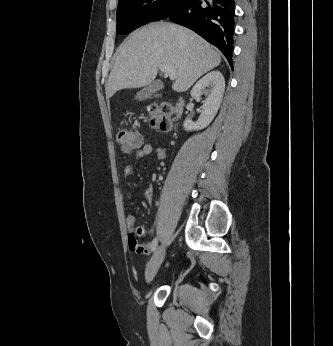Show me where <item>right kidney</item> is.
<instances>
[{"mask_svg":"<svg viewBox=\"0 0 333 346\" xmlns=\"http://www.w3.org/2000/svg\"><path fill=\"white\" fill-rule=\"evenodd\" d=\"M225 91V79L220 71H212L202 77L192 88L191 96L200 101L201 95H206L202 113L197 122L186 119L183 127L186 131L201 130L207 127L216 116Z\"/></svg>","mask_w":333,"mask_h":346,"instance_id":"1","label":"right kidney"}]
</instances>
